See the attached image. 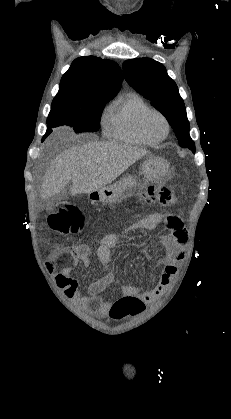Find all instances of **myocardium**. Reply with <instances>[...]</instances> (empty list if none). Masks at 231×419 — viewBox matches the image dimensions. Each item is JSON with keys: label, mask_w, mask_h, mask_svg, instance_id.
Instances as JSON below:
<instances>
[{"label": "myocardium", "mask_w": 231, "mask_h": 419, "mask_svg": "<svg viewBox=\"0 0 231 419\" xmlns=\"http://www.w3.org/2000/svg\"><path fill=\"white\" fill-rule=\"evenodd\" d=\"M153 113L158 114L163 119V121L165 123V126H166V131H165L164 135L160 138H157V139H154V138L150 137L145 130V120L150 114H153ZM137 127H138V131H139L140 135L148 143H151V144L159 143V142L165 140L167 138V136L169 135V132H170V122H169L168 118L166 117V115L163 112H161L158 109H154V108H149V109L145 110L139 116V119H138V122H137Z\"/></svg>", "instance_id": "myocardium-1"}]
</instances>
